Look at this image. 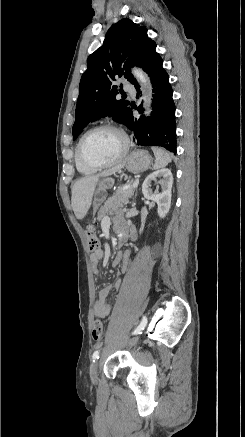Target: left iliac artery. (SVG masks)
Wrapping results in <instances>:
<instances>
[{"instance_id":"obj_1","label":"left iliac artery","mask_w":245,"mask_h":437,"mask_svg":"<svg viewBox=\"0 0 245 437\" xmlns=\"http://www.w3.org/2000/svg\"><path fill=\"white\" fill-rule=\"evenodd\" d=\"M146 324H147V318H146V316H143L142 321H141L140 324L136 327V329L133 331L132 334H137V333L141 332V330H143V329L145 328ZM99 354H100V351H99V350H96V351L93 353V355H92L93 362H94L96 359H99Z\"/></svg>"}]
</instances>
